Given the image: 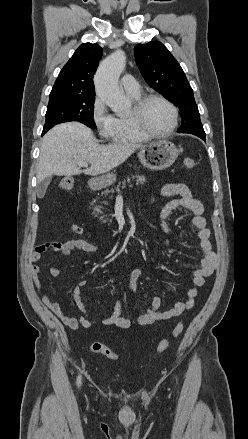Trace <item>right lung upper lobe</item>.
I'll use <instances>...</instances> for the list:
<instances>
[{"instance_id": "obj_1", "label": "right lung upper lobe", "mask_w": 248, "mask_h": 439, "mask_svg": "<svg viewBox=\"0 0 248 439\" xmlns=\"http://www.w3.org/2000/svg\"><path fill=\"white\" fill-rule=\"evenodd\" d=\"M102 56L98 44L85 43L78 47L60 71L50 97L58 95H95L93 76Z\"/></svg>"}]
</instances>
